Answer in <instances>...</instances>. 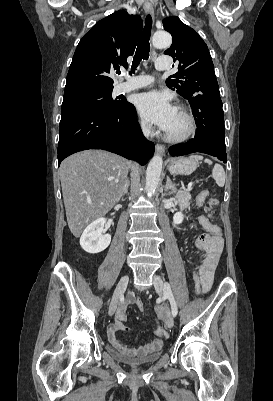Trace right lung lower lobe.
<instances>
[{"label":"right lung lower lobe","instance_id":"obj_1","mask_svg":"<svg viewBox=\"0 0 273 401\" xmlns=\"http://www.w3.org/2000/svg\"><path fill=\"white\" fill-rule=\"evenodd\" d=\"M86 149H104L146 164L154 144L142 134L133 104L114 109L77 108L61 114L58 160Z\"/></svg>","mask_w":273,"mask_h":401}]
</instances>
